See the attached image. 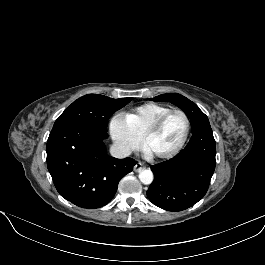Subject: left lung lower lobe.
<instances>
[{"label":"left lung lower lobe","instance_id":"left-lung-lower-lobe-1","mask_svg":"<svg viewBox=\"0 0 265 265\" xmlns=\"http://www.w3.org/2000/svg\"><path fill=\"white\" fill-rule=\"evenodd\" d=\"M216 146L210 125L192 131L187 146L174 158L151 166L155 175L147 196L167 211H182L206 194L215 170Z\"/></svg>","mask_w":265,"mask_h":265}]
</instances>
